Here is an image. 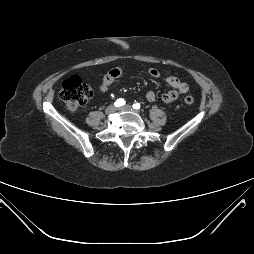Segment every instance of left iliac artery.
Listing matches in <instances>:
<instances>
[{"mask_svg": "<svg viewBox=\"0 0 254 254\" xmlns=\"http://www.w3.org/2000/svg\"><path fill=\"white\" fill-rule=\"evenodd\" d=\"M133 108L134 109H140V104L139 103H134Z\"/></svg>", "mask_w": 254, "mask_h": 254, "instance_id": "obj_1", "label": "left iliac artery"}]
</instances>
